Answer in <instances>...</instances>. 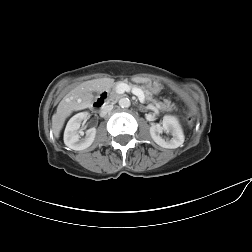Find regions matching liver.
Masks as SVG:
<instances>
[{"label": "liver", "mask_w": 252, "mask_h": 252, "mask_svg": "<svg viewBox=\"0 0 252 252\" xmlns=\"http://www.w3.org/2000/svg\"><path fill=\"white\" fill-rule=\"evenodd\" d=\"M136 82H144L146 79H135ZM114 84V79L101 78L83 82L59 103L57 112L52 116V130L56 138H59L63 123L72 111L88 107L94 99L93 91L109 90Z\"/></svg>", "instance_id": "obj_1"}]
</instances>
